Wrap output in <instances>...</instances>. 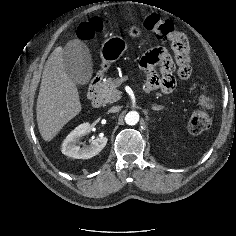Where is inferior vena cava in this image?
<instances>
[{
  "instance_id": "inferior-vena-cava-1",
  "label": "inferior vena cava",
  "mask_w": 236,
  "mask_h": 236,
  "mask_svg": "<svg viewBox=\"0 0 236 236\" xmlns=\"http://www.w3.org/2000/svg\"><path fill=\"white\" fill-rule=\"evenodd\" d=\"M120 110V107L119 106H113L110 110H109V112H117V111H119Z\"/></svg>"
}]
</instances>
